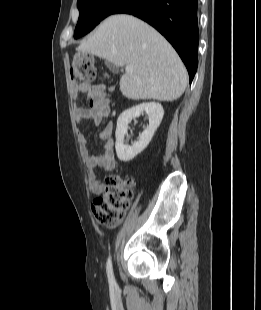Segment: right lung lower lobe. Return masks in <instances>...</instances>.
Here are the masks:
<instances>
[{
	"label": "right lung lower lobe",
	"mask_w": 261,
	"mask_h": 310,
	"mask_svg": "<svg viewBox=\"0 0 261 310\" xmlns=\"http://www.w3.org/2000/svg\"><path fill=\"white\" fill-rule=\"evenodd\" d=\"M198 0H126L112 14H132L156 28L184 62L190 83L198 65Z\"/></svg>",
	"instance_id": "98d812e1"
}]
</instances>
